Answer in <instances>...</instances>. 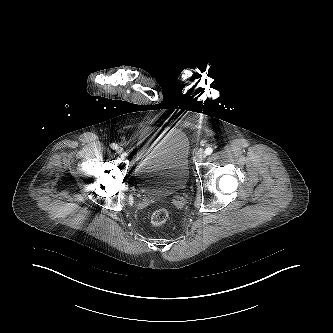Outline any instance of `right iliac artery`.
I'll return each instance as SVG.
<instances>
[{
  "mask_svg": "<svg viewBox=\"0 0 333 333\" xmlns=\"http://www.w3.org/2000/svg\"><path fill=\"white\" fill-rule=\"evenodd\" d=\"M111 148H112V149H118V146H117V144L112 143V144H111Z\"/></svg>",
  "mask_w": 333,
  "mask_h": 333,
  "instance_id": "1",
  "label": "right iliac artery"
}]
</instances>
